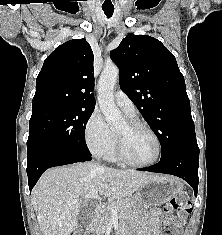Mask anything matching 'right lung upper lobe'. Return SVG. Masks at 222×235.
Listing matches in <instances>:
<instances>
[{
	"label": "right lung upper lobe",
	"mask_w": 222,
	"mask_h": 235,
	"mask_svg": "<svg viewBox=\"0 0 222 235\" xmlns=\"http://www.w3.org/2000/svg\"><path fill=\"white\" fill-rule=\"evenodd\" d=\"M93 60L85 39H73L58 46L37 76L32 113L53 105L94 109Z\"/></svg>",
	"instance_id": "cb5924a9"
}]
</instances>
